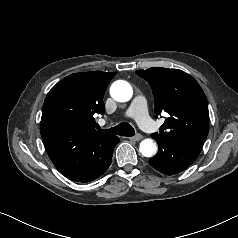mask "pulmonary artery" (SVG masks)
<instances>
[{"label": "pulmonary artery", "instance_id": "obj_1", "mask_svg": "<svg viewBox=\"0 0 238 238\" xmlns=\"http://www.w3.org/2000/svg\"><path fill=\"white\" fill-rule=\"evenodd\" d=\"M126 115L135 119L144 131L148 133L156 132L157 126L148 114L146 99L143 96L134 97Z\"/></svg>", "mask_w": 238, "mask_h": 238}]
</instances>
